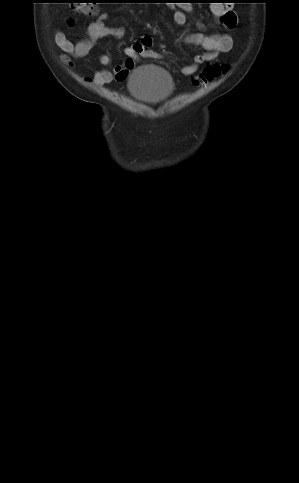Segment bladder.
I'll return each mask as SVG.
<instances>
[{
	"label": "bladder",
	"instance_id": "1",
	"mask_svg": "<svg viewBox=\"0 0 299 483\" xmlns=\"http://www.w3.org/2000/svg\"><path fill=\"white\" fill-rule=\"evenodd\" d=\"M129 92L137 100L153 102L169 96L174 90L170 75L154 65L135 69L129 77Z\"/></svg>",
	"mask_w": 299,
	"mask_h": 483
}]
</instances>
